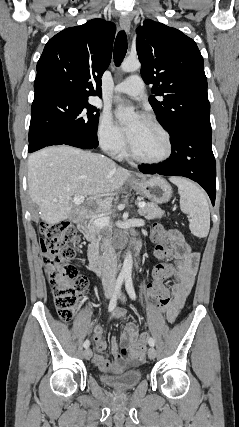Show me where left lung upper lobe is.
Segmentation results:
<instances>
[{"label": "left lung upper lobe", "instance_id": "5c2ea615", "mask_svg": "<svg viewBox=\"0 0 239 427\" xmlns=\"http://www.w3.org/2000/svg\"><path fill=\"white\" fill-rule=\"evenodd\" d=\"M136 49L144 81L162 97L150 96L149 103L170 136L186 126L211 127L204 61L194 40L146 20L137 28Z\"/></svg>", "mask_w": 239, "mask_h": 427}]
</instances>
